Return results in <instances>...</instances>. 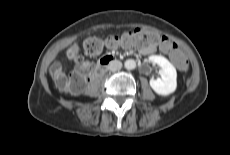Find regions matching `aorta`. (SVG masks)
Here are the masks:
<instances>
[{
    "label": "aorta",
    "mask_w": 230,
    "mask_h": 155,
    "mask_svg": "<svg viewBox=\"0 0 230 155\" xmlns=\"http://www.w3.org/2000/svg\"><path fill=\"white\" fill-rule=\"evenodd\" d=\"M124 65L127 70H133L136 68V62L133 59L126 60Z\"/></svg>",
    "instance_id": "1"
}]
</instances>
